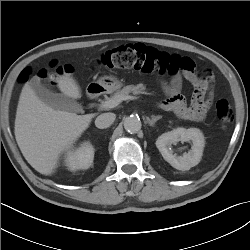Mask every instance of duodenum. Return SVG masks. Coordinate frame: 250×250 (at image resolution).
<instances>
[{
	"label": "duodenum",
	"instance_id": "1",
	"mask_svg": "<svg viewBox=\"0 0 250 250\" xmlns=\"http://www.w3.org/2000/svg\"><path fill=\"white\" fill-rule=\"evenodd\" d=\"M103 92V87L98 84L90 85L87 89V97L89 100L97 99Z\"/></svg>",
	"mask_w": 250,
	"mask_h": 250
}]
</instances>
